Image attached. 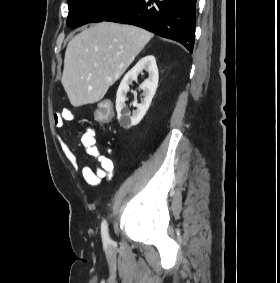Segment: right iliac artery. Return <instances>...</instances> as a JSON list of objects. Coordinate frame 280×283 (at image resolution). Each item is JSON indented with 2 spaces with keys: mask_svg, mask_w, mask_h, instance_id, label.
<instances>
[{
  "mask_svg": "<svg viewBox=\"0 0 280 283\" xmlns=\"http://www.w3.org/2000/svg\"><path fill=\"white\" fill-rule=\"evenodd\" d=\"M101 235H102V240L104 243L107 244L110 242V237L108 234V225L105 220L102 222V225H101Z\"/></svg>",
  "mask_w": 280,
  "mask_h": 283,
  "instance_id": "82829eb1",
  "label": "right iliac artery"
}]
</instances>
